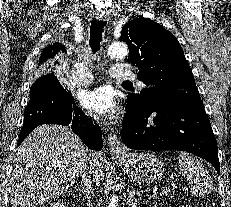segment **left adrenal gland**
<instances>
[{"label":"left adrenal gland","instance_id":"left-adrenal-gland-1","mask_svg":"<svg viewBox=\"0 0 231 207\" xmlns=\"http://www.w3.org/2000/svg\"><path fill=\"white\" fill-rule=\"evenodd\" d=\"M135 195H136L135 190H132L131 192H129V196L127 199V203L129 205V207H136L137 206L138 199L135 197Z\"/></svg>","mask_w":231,"mask_h":207}]
</instances>
